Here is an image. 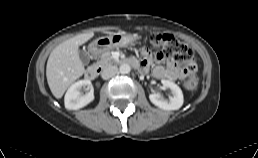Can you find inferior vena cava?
<instances>
[{"label":"inferior vena cava","mask_w":258,"mask_h":158,"mask_svg":"<svg viewBox=\"0 0 258 158\" xmlns=\"http://www.w3.org/2000/svg\"><path fill=\"white\" fill-rule=\"evenodd\" d=\"M117 73H118V68L116 66H108L102 71L101 76L103 79L106 80L113 77Z\"/></svg>","instance_id":"602c4592"}]
</instances>
